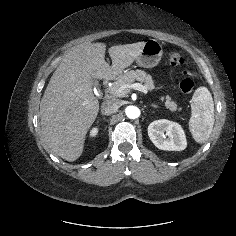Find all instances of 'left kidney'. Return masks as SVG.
<instances>
[{"mask_svg": "<svg viewBox=\"0 0 236 236\" xmlns=\"http://www.w3.org/2000/svg\"><path fill=\"white\" fill-rule=\"evenodd\" d=\"M148 135L153 144L167 151H182L187 141L182 127L166 119L156 120L148 126Z\"/></svg>", "mask_w": 236, "mask_h": 236, "instance_id": "1", "label": "left kidney"}]
</instances>
